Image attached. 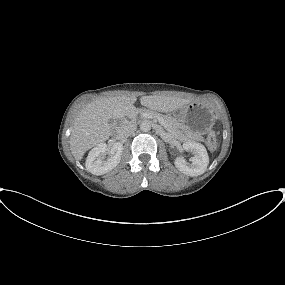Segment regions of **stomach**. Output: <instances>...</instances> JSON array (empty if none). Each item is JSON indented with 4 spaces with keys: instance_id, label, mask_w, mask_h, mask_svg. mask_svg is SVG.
I'll use <instances>...</instances> for the list:
<instances>
[{
    "instance_id": "1",
    "label": "stomach",
    "mask_w": 285,
    "mask_h": 285,
    "mask_svg": "<svg viewBox=\"0 0 285 285\" xmlns=\"http://www.w3.org/2000/svg\"><path fill=\"white\" fill-rule=\"evenodd\" d=\"M175 116L181 126L193 137L208 133L215 122L211 107L196 101L175 110Z\"/></svg>"
}]
</instances>
